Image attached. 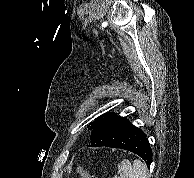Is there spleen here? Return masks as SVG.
<instances>
[{"label": "spleen", "mask_w": 194, "mask_h": 178, "mask_svg": "<svg viewBox=\"0 0 194 178\" xmlns=\"http://www.w3.org/2000/svg\"><path fill=\"white\" fill-rule=\"evenodd\" d=\"M119 176L114 178H148L147 166L139 159H135L133 165L129 160H122L118 165Z\"/></svg>", "instance_id": "obj_1"}]
</instances>
